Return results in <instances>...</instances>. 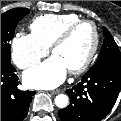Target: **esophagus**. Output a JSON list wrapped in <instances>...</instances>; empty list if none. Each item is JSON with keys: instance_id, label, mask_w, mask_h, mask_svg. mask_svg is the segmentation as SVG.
Wrapping results in <instances>:
<instances>
[{"instance_id": "obj_1", "label": "esophagus", "mask_w": 121, "mask_h": 121, "mask_svg": "<svg viewBox=\"0 0 121 121\" xmlns=\"http://www.w3.org/2000/svg\"><path fill=\"white\" fill-rule=\"evenodd\" d=\"M58 93H60V89L50 91V94H51V95H56V94H58Z\"/></svg>"}]
</instances>
